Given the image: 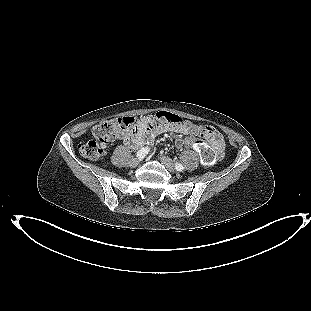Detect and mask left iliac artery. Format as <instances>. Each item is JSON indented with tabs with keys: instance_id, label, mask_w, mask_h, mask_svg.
I'll list each match as a JSON object with an SVG mask.
<instances>
[{
	"instance_id": "left-iliac-artery-1",
	"label": "left iliac artery",
	"mask_w": 311,
	"mask_h": 311,
	"mask_svg": "<svg viewBox=\"0 0 311 311\" xmlns=\"http://www.w3.org/2000/svg\"><path fill=\"white\" fill-rule=\"evenodd\" d=\"M175 168H176L177 171H183V170H184L183 165L180 164V163H176V164H175Z\"/></svg>"
}]
</instances>
